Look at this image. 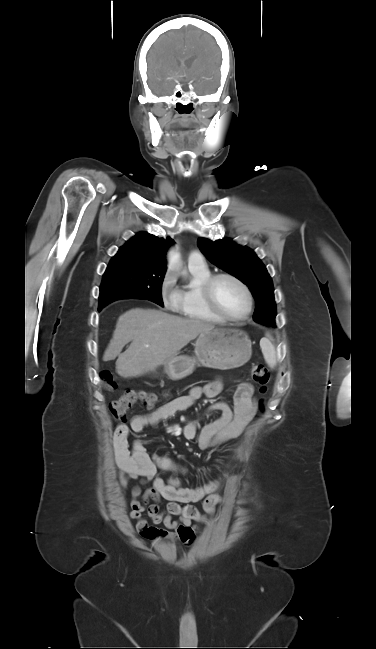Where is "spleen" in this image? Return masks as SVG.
<instances>
[{
    "instance_id": "obj_1",
    "label": "spleen",
    "mask_w": 376,
    "mask_h": 649,
    "mask_svg": "<svg viewBox=\"0 0 376 649\" xmlns=\"http://www.w3.org/2000/svg\"><path fill=\"white\" fill-rule=\"evenodd\" d=\"M260 347L264 356V359L268 366L274 368L276 366V351L275 346L271 342V338L264 337L260 340Z\"/></svg>"
}]
</instances>
